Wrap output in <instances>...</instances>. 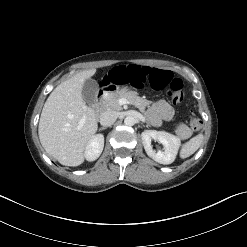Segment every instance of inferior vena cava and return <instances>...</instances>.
Returning a JSON list of instances; mask_svg holds the SVG:
<instances>
[{
  "label": "inferior vena cava",
  "mask_w": 247,
  "mask_h": 247,
  "mask_svg": "<svg viewBox=\"0 0 247 247\" xmlns=\"http://www.w3.org/2000/svg\"><path fill=\"white\" fill-rule=\"evenodd\" d=\"M117 119L114 111H105L100 115V124L104 127L111 126Z\"/></svg>",
  "instance_id": "inferior-vena-cava-1"
}]
</instances>
